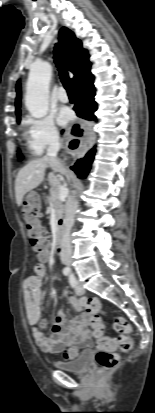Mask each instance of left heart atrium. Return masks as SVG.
Segmentation results:
<instances>
[{
	"label": "left heart atrium",
	"instance_id": "1",
	"mask_svg": "<svg viewBox=\"0 0 155 413\" xmlns=\"http://www.w3.org/2000/svg\"><path fill=\"white\" fill-rule=\"evenodd\" d=\"M71 117V111L67 107H62L58 112L57 120L59 124L64 125L71 119Z\"/></svg>",
	"mask_w": 155,
	"mask_h": 413
}]
</instances>
